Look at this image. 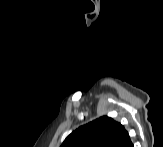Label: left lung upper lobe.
I'll return each mask as SVG.
<instances>
[{"label":"left lung upper lobe","instance_id":"1","mask_svg":"<svg viewBox=\"0 0 163 147\" xmlns=\"http://www.w3.org/2000/svg\"><path fill=\"white\" fill-rule=\"evenodd\" d=\"M125 131L119 122L102 116L73 131L61 147H116Z\"/></svg>","mask_w":163,"mask_h":147}]
</instances>
